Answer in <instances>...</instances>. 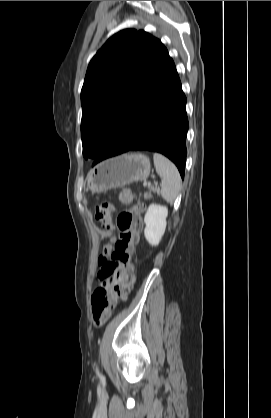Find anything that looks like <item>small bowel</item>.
Wrapping results in <instances>:
<instances>
[{
  "instance_id": "c3829d8e",
  "label": "small bowel",
  "mask_w": 271,
  "mask_h": 418,
  "mask_svg": "<svg viewBox=\"0 0 271 418\" xmlns=\"http://www.w3.org/2000/svg\"><path fill=\"white\" fill-rule=\"evenodd\" d=\"M102 285L105 286L107 289L112 290L114 285V279L113 278H107L103 280Z\"/></svg>"
}]
</instances>
